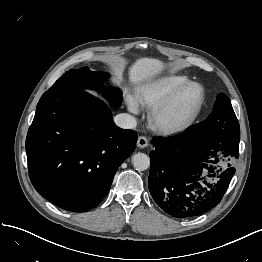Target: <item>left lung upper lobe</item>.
Masks as SVG:
<instances>
[{"instance_id": "1", "label": "left lung upper lobe", "mask_w": 262, "mask_h": 262, "mask_svg": "<svg viewBox=\"0 0 262 262\" xmlns=\"http://www.w3.org/2000/svg\"><path fill=\"white\" fill-rule=\"evenodd\" d=\"M227 130L240 131V128L230 99L224 93H221L217 96L213 111L209 117L187 131L208 136L226 132Z\"/></svg>"}]
</instances>
